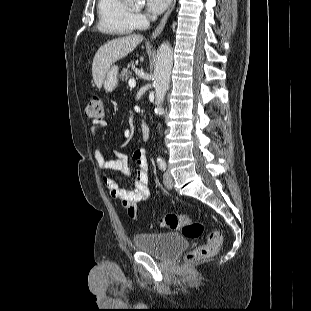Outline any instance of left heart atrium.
<instances>
[{
	"instance_id": "left-heart-atrium-1",
	"label": "left heart atrium",
	"mask_w": 311,
	"mask_h": 311,
	"mask_svg": "<svg viewBox=\"0 0 311 311\" xmlns=\"http://www.w3.org/2000/svg\"><path fill=\"white\" fill-rule=\"evenodd\" d=\"M171 0H146V7L150 14L155 15L163 12Z\"/></svg>"
}]
</instances>
